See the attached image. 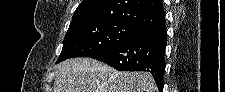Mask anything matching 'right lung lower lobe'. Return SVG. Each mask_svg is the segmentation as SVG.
<instances>
[{
  "label": "right lung lower lobe",
  "mask_w": 225,
  "mask_h": 92,
  "mask_svg": "<svg viewBox=\"0 0 225 92\" xmlns=\"http://www.w3.org/2000/svg\"><path fill=\"white\" fill-rule=\"evenodd\" d=\"M167 30L164 25L147 29L132 40L104 50L92 58L119 71H149L162 92Z\"/></svg>",
  "instance_id": "1"
}]
</instances>
